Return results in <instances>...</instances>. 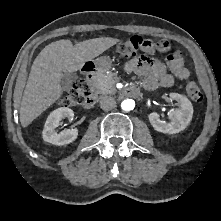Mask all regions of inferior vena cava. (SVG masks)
I'll list each match as a JSON object with an SVG mask.
<instances>
[{"label": "inferior vena cava", "instance_id": "1", "mask_svg": "<svg viewBox=\"0 0 221 221\" xmlns=\"http://www.w3.org/2000/svg\"><path fill=\"white\" fill-rule=\"evenodd\" d=\"M100 107L103 110H111L116 107V101L111 96H101L100 97Z\"/></svg>", "mask_w": 221, "mask_h": 221}]
</instances>
